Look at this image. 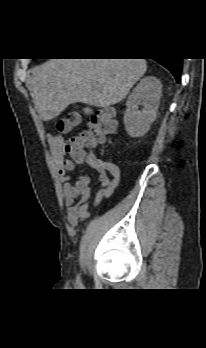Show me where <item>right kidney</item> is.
<instances>
[{
  "label": "right kidney",
  "instance_id": "1",
  "mask_svg": "<svg viewBox=\"0 0 206 348\" xmlns=\"http://www.w3.org/2000/svg\"><path fill=\"white\" fill-rule=\"evenodd\" d=\"M161 93V81L154 76L144 77L133 89L123 119L129 136L141 137L149 131L157 116ZM139 106L143 109L139 110Z\"/></svg>",
  "mask_w": 206,
  "mask_h": 348
}]
</instances>
